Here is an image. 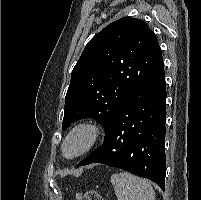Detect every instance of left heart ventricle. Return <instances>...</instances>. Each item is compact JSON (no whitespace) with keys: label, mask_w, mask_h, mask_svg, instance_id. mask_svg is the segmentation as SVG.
I'll return each mask as SVG.
<instances>
[{"label":"left heart ventricle","mask_w":201,"mask_h":200,"mask_svg":"<svg viewBox=\"0 0 201 200\" xmlns=\"http://www.w3.org/2000/svg\"><path fill=\"white\" fill-rule=\"evenodd\" d=\"M88 141V135L85 132H77L72 135L66 143L65 153L69 156L81 151Z\"/></svg>","instance_id":"1"}]
</instances>
